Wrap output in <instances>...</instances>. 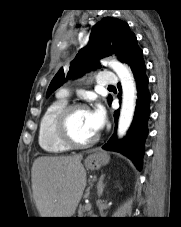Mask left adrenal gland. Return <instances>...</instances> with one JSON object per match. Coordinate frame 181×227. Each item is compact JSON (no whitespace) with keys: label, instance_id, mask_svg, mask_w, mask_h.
<instances>
[{"label":"left adrenal gland","instance_id":"1","mask_svg":"<svg viewBox=\"0 0 181 227\" xmlns=\"http://www.w3.org/2000/svg\"><path fill=\"white\" fill-rule=\"evenodd\" d=\"M103 179H104V175L102 174L99 178L98 183H97V194H98L99 197L102 196L103 190H104V187H105V185L103 183Z\"/></svg>","mask_w":181,"mask_h":227}]
</instances>
